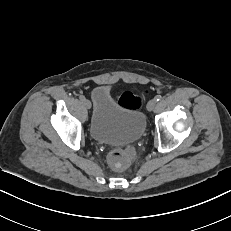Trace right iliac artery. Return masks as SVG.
Instances as JSON below:
<instances>
[{"instance_id": "obj_1", "label": "right iliac artery", "mask_w": 231, "mask_h": 231, "mask_svg": "<svg viewBox=\"0 0 231 231\" xmlns=\"http://www.w3.org/2000/svg\"><path fill=\"white\" fill-rule=\"evenodd\" d=\"M79 99H80L81 101H83V100H85V97H84L83 95H80V96H79Z\"/></svg>"}]
</instances>
